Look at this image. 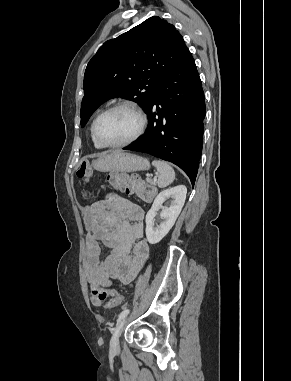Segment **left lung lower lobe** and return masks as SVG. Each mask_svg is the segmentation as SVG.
<instances>
[{
  "instance_id": "1",
  "label": "left lung lower lobe",
  "mask_w": 291,
  "mask_h": 381,
  "mask_svg": "<svg viewBox=\"0 0 291 381\" xmlns=\"http://www.w3.org/2000/svg\"><path fill=\"white\" fill-rule=\"evenodd\" d=\"M145 112L148 115L145 134L123 149L176 164L194 185L202 153L205 99L189 50L157 86Z\"/></svg>"
}]
</instances>
